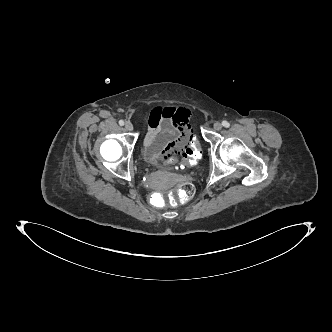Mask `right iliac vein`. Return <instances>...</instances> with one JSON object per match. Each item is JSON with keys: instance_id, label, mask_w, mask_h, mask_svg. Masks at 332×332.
I'll list each match as a JSON object with an SVG mask.
<instances>
[{"instance_id": "63e3f726", "label": "right iliac vein", "mask_w": 332, "mask_h": 332, "mask_svg": "<svg viewBox=\"0 0 332 332\" xmlns=\"http://www.w3.org/2000/svg\"><path fill=\"white\" fill-rule=\"evenodd\" d=\"M125 129L127 130V131H132L133 130V125H132V123L131 122H126L125 123Z\"/></svg>"}]
</instances>
